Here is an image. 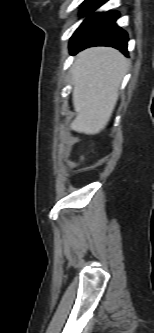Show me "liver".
Here are the masks:
<instances>
[{"mask_svg":"<svg viewBox=\"0 0 154 333\" xmlns=\"http://www.w3.org/2000/svg\"><path fill=\"white\" fill-rule=\"evenodd\" d=\"M129 62L109 47L86 49L72 66L73 106L77 113L70 129L95 135L109 122L118 100L119 86Z\"/></svg>","mask_w":154,"mask_h":333,"instance_id":"liver-1","label":"liver"}]
</instances>
